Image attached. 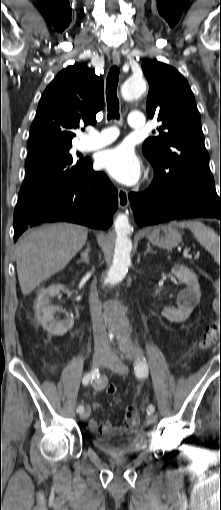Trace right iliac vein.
Returning a JSON list of instances; mask_svg holds the SVG:
<instances>
[{"label":"right iliac vein","instance_id":"1","mask_svg":"<svg viewBox=\"0 0 221 510\" xmlns=\"http://www.w3.org/2000/svg\"><path fill=\"white\" fill-rule=\"evenodd\" d=\"M107 359H108V354L101 353V352H95L93 355L92 362H93V365L95 367H97V366L101 365L102 363H104ZM90 412H91L90 406H86L85 410L80 414V418L82 420H86L89 417Z\"/></svg>","mask_w":221,"mask_h":510}]
</instances>
